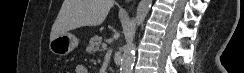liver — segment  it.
<instances>
[{
	"label": "liver",
	"instance_id": "6515ba94",
	"mask_svg": "<svg viewBox=\"0 0 244 73\" xmlns=\"http://www.w3.org/2000/svg\"><path fill=\"white\" fill-rule=\"evenodd\" d=\"M113 4L114 0H64L52 26L50 41L70 30L100 25Z\"/></svg>",
	"mask_w": 244,
	"mask_h": 73
}]
</instances>
